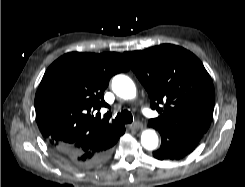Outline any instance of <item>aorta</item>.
<instances>
[{"label":"aorta","instance_id":"762f6f07","mask_svg":"<svg viewBox=\"0 0 245 187\" xmlns=\"http://www.w3.org/2000/svg\"><path fill=\"white\" fill-rule=\"evenodd\" d=\"M113 92L123 99H133L136 96L134 82L125 75H116L112 79ZM142 146L147 150H154L158 146V136L154 130L147 129L141 135Z\"/></svg>","mask_w":245,"mask_h":187}]
</instances>
